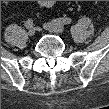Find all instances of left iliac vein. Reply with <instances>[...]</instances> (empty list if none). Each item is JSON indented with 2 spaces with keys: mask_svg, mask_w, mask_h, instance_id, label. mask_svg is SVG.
Masks as SVG:
<instances>
[{
  "mask_svg": "<svg viewBox=\"0 0 109 109\" xmlns=\"http://www.w3.org/2000/svg\"><path fill=\"white\" fill-rule=\"evenodd\" d=\"M44 28L53 33H62L65 28L61 24H56L54 22H49L44 25Z\"/></svg>",
  "mask_w": 109,
  "mask_h": 109,
  "instance_id": "4c4485c4",
  "label": "left iliac vein"
}]
</instances>
